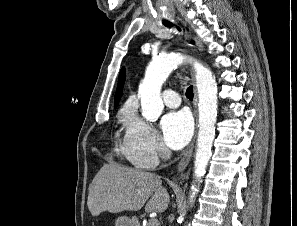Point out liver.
<instances>
[{
  "instance_id": "obj_1",
  "label": "liver",
  "mask_w": 297,
  "mask_h": 226,
  "mask_svg": "<svg viewBox=\"0 0 297 226\" xmlns=\"http://www.w3.org/2000/svg\"><path fill=\"white\" fill-rule=\"evenodd\" d=\"M169 201V193L158 175L108 163L95 175L87 205L90 213L98 216L104 211H138L145 204L146 212H163Z\"/></svg>"
}]
</instances>
